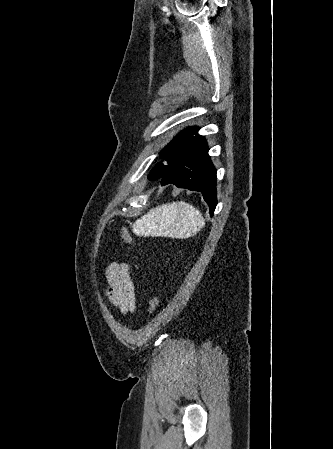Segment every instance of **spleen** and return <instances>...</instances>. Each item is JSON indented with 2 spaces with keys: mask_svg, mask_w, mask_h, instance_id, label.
Returning <instances> with one entry per match:
<instances>
[{
  "mask_svg": "<svg viewBox=\"0 0 333 449\" xmlns=\"http://www.w3.org/2000/svg\"><path fill=\"white\" fill-rule=\"evenodd\" d=\"M205 225L202 213L186 202L162 204L137 219L133 225L135 234L189 238Z\"/></svg>",
  "mask_w": 333,
  "mask_h": 449,
  "instance_id": "1",
  "label": "spleen"
}]
</instances>
